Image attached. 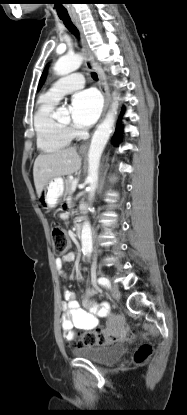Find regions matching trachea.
Listing matches in <instances>:
<instances>
[{
	"instance_id": "trachea-1",
	"label": "trachea",
	"mask_w": 187,
	"mask_h": 415,
	"mask_svg": "<svg viewBox=\"0 0 187 415\" xmlns=\"http://www.w3.org/2000/svg\"><path fill=\"white\" fill-rule=\"evenodd\" d=\"M62 21H63V23H64V25L66 26V28L72 33V34H74L76 37H78L79 36V32H78V29L76 28V26L72 23V21H71V19H68V20H66V19H62ZM91 76H92V78L94 79V80H98V76H97V74L95 73V72H93L92 74H91Z\"/></svg>"
}]
</instances>
